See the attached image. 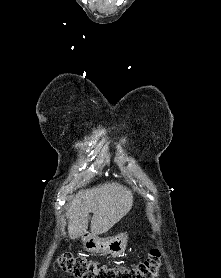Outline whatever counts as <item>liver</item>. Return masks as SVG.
Segmentation results:
<instances>
[{"instance_id":"1","label":"liver","mask_w":221,"mask_h":278,"mask_svg":"<svg viewBox=\"0 0 221 278\" xmlns=\"http://www.w3.org/2000/svg\"><path fill=\"white\" fill-rule=\"evenodd\" d=\"M133 194L123 185L112 182L80 191L69 203L66 215L71 239L82 237L93 213L91 232L102 234L118 223L132 208Z\"/></svg>"}]
</instances>
